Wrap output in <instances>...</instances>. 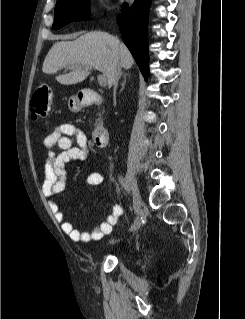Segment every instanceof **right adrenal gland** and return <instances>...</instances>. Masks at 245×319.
<instances>
[{
  "mask_svg": "<svg viewBox=\"0 0 245 319\" xmlns=\"http://www.w3.org/2000/svg\"><path fill=\"white\" fill-rule=\"evenodd\" d=\"M129 74H124V79H123V81H122V83H121V89H120V93L125 89V85H126V80H127V76H128Z\"/></svg>",
  "mask_w": 245,
  "mask_h": 319,
  "instance_id": "2a0ac1e0",
  "label": "right adrenal gland"
}]
</instances>
